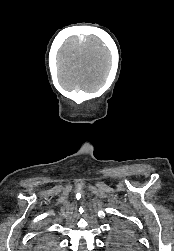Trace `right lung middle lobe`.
<instances>
[{
  "mask_svg": "<svg viewBox=\"0 0 174 251\" xmlns=\"http://www.w3.org/2000/svg\"><path fill=\"white\" fill-rule=\"evenodd\" d=\"M42 246L50 248L52 246V243L45 240V241L42 242Z\"/></svg>",
  "mask_w": 174,
  "mask_h": 251,
  "instance_id": "1",
  "label": "right lung middle lobe"
}]
</instances>
